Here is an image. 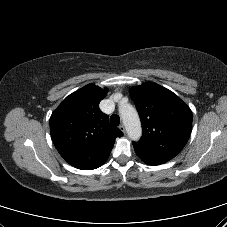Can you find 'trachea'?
<instances>
[{
	"mask_svg": "<svg viewBox=\"0 0 227 227\" xmlns=\"http://www.w3.org/2000/svg\"><path fill=\"white\" fill-rule=\"evenodd\" d=\"M110 122L113 126H118L120 124V117L116 114H113L110 117Z\"/></svg>",
	"mask_w": 227,
	"mask_h": 227,
	"instance_id": "3493384b",
	"label": "trachea"
}]
</instances>
